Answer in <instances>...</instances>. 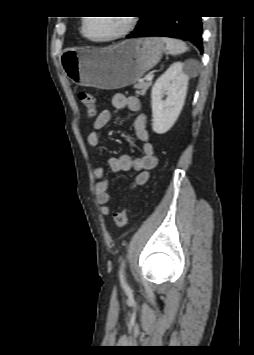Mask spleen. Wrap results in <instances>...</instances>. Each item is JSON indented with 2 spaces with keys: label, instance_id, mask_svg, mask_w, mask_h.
Returning <instances> with one entry per match:
<instances>
[{
  "label": "spleen",
  "instance_id": "1",
  "mask_svg": "<svg viewBox=\"0 0 254 355\" xmlns=\"http://www.w3.org/2000/svg\"><path fill=\"white\" fill-rule=\"evenodd\" d=\"M161 39L166 44V48L169 53L173 56L182 54L189 50V47H187L186 43L181 40L167 37H162Z\"/></svg>",
  "mask_w": 254,
  "mask_h": 355
}]
</instances>
